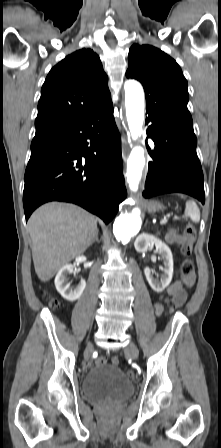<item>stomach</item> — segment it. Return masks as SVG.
Instances as JSON below:
<instances>
[{"label": "stomach", "instance_id": "stomach-1", "mask_svg": "<svg viewBox=\"0 0 221 448\" xmlns=\"http://www.w3.org/2000/svg\"><path fill=\"white\" fill-rule=\"evenodd\" d=\"M160 209H162V205L160 203H157V202H154V201L150 202L147 205V210H148L149 213H155L156 211H158Z\"/></svg>", "mask_w": 221, "mask_h": 448}]
</instances>
